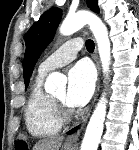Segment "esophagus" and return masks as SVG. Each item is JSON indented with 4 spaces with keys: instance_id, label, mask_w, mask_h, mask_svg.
<instances>
[{
    "instance_id": "obj_1",
    "label": "esophagus",
    "mask_w": 139,
    "mask_h": 150,
    "mask_svg": "<svg viewBox=\"0 0 139 150\" xmlns=\"http://www.w3.org/2000/svg\"><path fill=\"white\" fill-rule=\"evenodd\" d=\"M94 59H95V62H96V65H97V68H98V72H99V77H98V82H97V88H96V93H95V97H94V101L93 103L95 102V100L97 99V96H98V92H99V89H100V63H99V59H98V54H97V48L95 47V55H94ZM90 113L86 114L84 117H83V120H82V126H84L88 120V117H89ZM79 137H80V131L70 135L67 139H66V144L68 145H75L77 143V141L79 140Z\"/></svg>"
}]
</instances>
